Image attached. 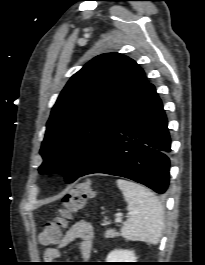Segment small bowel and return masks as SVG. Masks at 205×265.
<instances>
[{"label": "small bowel", "instance_id": "obj_1", "mask_svg": "<svg viewBox=\"0 0 205 265\" xmlns=\"http://www.w3.org/2000/svg\"><path fill=\"white\" fill-rule=\"evenodd\" d=\"M94 231L92 225L80 220L74 223L59 240L56 247L47 248L44 252V259L48 262L55 261L61 256V249L68 246L75 240H79V251L83 259H88L93 246Z\"/></svg>", "mask_w": 205, "mask_h": 265}]
</instances>
